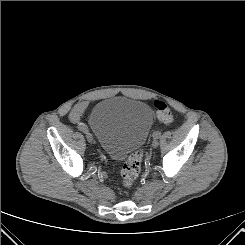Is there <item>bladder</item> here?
Here are the masks:
<instances>
[{
	"label": "bladder",
	"instance_id": "31cf9c89",
	"mask_svg": "<svg viewBox=\"0 0 245 245\" xmlns=\"http://www.w3.org/2000/svg\"><path fill=\"white\" fill-rule=\"evenodd\" d=\"M153 122L151 108L124 97L105 99L88 116V125L102 150L113 159H122L146 141Z\"/></svg>",
	"mask_w": 245,
	"mask_h": 245
}]
</instances>
